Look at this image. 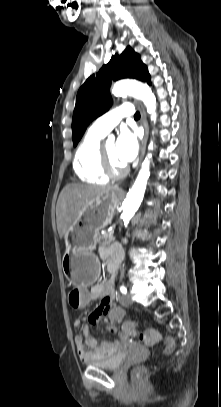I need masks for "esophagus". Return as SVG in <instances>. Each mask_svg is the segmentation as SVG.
I'll return each instance as SVG.
<instances>
[{"label":"esophagus","instance_id":"34e87169","mask_svg":"<svg viewBox=\"0 0 221 407\" xmlns=\"http://www.w3.org/2000/svg\"><path fill=\"white\" fill-rule=\"evenodd\" d=\"M136 105L139 107L140 112H141V122L144 128V137L141 142V149H140V160L142 161L144 154H145V149H146V143L148 139V123H147V117H146V112L143 107V105L139 102H135ZM118 192H122L121 189L118 190Z\"/></svg>","mask_w":221,"mask_h":407}]
</instances>
